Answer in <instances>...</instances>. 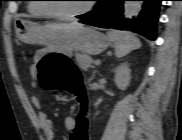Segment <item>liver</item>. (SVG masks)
Segmentation results:
<instances>
[{
	"label": "liver",
	"mask_w": 182,
	"mask_h": 140,
	"mask_svg": "<svg viewBox=\"0 0 182 140\" xmlns=\"http://www.w3.org/2000/svg\"><path fill=\"white\" fill-rule=\"evenodd\" d=\"M83 25L74 21L72 23H60V24H48L46 26H44L43 28L48 30V31H55V30H74V29H78L81 28Z\"/></svg>",
	"instance_id": "6515ba94"
}]
</instances>
